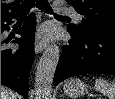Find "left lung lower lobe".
I'll return each instance as SVG.
<instances>
[{
    "mask_svg": "<svg viewBox=\"0 0 115 99\" xmlns=\"http://www.w3.org/2000/svg\"><path fill=\"white\" fill-rule=\"evenodd\" d=\"M68 31L71 39L63 47L54 75V85L77 75H115V36L86 34L80 37Z\"/></svg>",
    "mask_w": 115,
    "mask_h": 99,
    "instance_id": "obj_1",
    "label": "left lung lower lobe"
}]
</instances>
